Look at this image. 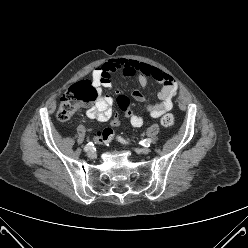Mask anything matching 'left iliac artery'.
I'll return each instance as SVG.
<instances>
[{
	"label": "left iliac artery",
	"mask_w": 248,
	"mask_h": 248,
	"mask_svg": "<svg viewBox=\"0 0 248 248\" xmlns=\"http://www.w3.org/2000/svg\"><path fill=\"white\" fill-rule=\"evenodd\" d=\"M118 140L121 142H125V140L121 137H118ZM151 142H152L151 139L148 138L140 141V144L143 145L144 147H149Z\"/></svg>",
	"instance_id": "obj_1"
}]
</instances>
